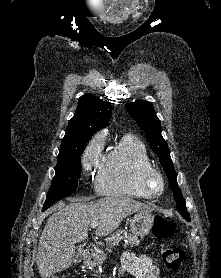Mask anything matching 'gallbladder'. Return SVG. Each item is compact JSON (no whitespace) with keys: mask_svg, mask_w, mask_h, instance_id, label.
Listing matches in <instances>:
<instances>
[{"mask_svg":"<svg viewBox=\"0 0 221 278\" xmlns=\"http://www.w3.org/2000/svg\"><path fill=\"white\" fill-rule=\"evenodd\" d=\"M81 260H82V249L79 248L78 251L75 253L73 263H79Z\"/></svg>","mask_w":221,"mask_h":278,"instance_id":"gallbladder-1","label":"gallbladder"}]
</instances>
